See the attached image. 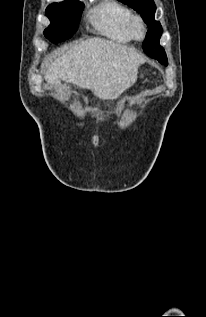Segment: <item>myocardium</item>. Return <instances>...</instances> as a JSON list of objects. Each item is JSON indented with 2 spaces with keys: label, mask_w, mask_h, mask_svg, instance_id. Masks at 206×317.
Instances as JSON below:
<instances>
[{
  "label": "myocardium",
  "mask_w": 206,
  "mask_h": 317,
  "mask_svg": "<svg viewBox=\"0 0 206 317\" xmlns=\"http://www.w3.org/2000/svg\"><path fill=\"white\" fill-rule=\"evenodd\" d=\"M130 32L135 39H143L146 36L147 26L141 15L134 14L131 16Z\"/></svg>",
  "instance_id": "f54148a6"
}]
</instances>
